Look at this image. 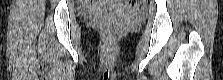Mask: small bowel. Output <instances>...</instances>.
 <instances>
[{
    "label": "small bowel",
    "mask_w": 223,
    "mask_h": 80,
    "mask_svg": "<svg viewBox=\"0 0 223 80\" xmlns=\"http://www.w3.org/2000/svg\"><path fill=\"white\" fill-rule=\"evenodd\" d=\"M86 7H87L88 9H94V8H95V4L92 3V2H89V3H87Z\"/></svg>",
    "instance_id": "small-bowel-1"
}]
</instances>
